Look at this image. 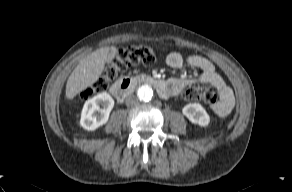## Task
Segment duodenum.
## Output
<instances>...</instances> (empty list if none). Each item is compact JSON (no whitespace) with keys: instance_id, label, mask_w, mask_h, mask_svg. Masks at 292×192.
Returning a JSON list of instances; mask_svg holds the SVG:
<instances>
[{"instance_id":"duodenum-1","label":"duodenum","mask_w":292,"mask_h":192,"mask_svg":"<svg viewBox=\"0 0 292 192\" xmlns=\"http://www.w3.org/2000/svg\"><path fill=\"white\" fill-rule=\"evenodd\" d=\"M141 83L153 86L162 97L168 96L169 85L166 81L146 76L120 79L112 86L111 93L118 101L122 102L134 90L135 86Z\"/></svg>"}]
</instances>
